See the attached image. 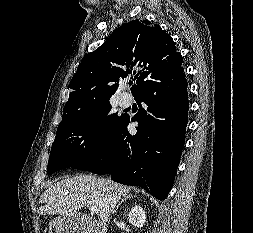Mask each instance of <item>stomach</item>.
Listing matches in <instances>:
<instances>
[{"instance_id":"0dacf381","label":"stomach","mask_w":253,"mask_h":233,"mask_svg":"<svg viewBox=\"0 0 253 233\" xmlns=\"http://www.w3.org/2000/svg\"><path fill=\"white\" fill-rule=\"evenodd\" d=\"M76 219L77 215L65 214L54 219L50 228L54 233H74L76 231Z\"/></svg>"}]
</instances>
